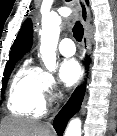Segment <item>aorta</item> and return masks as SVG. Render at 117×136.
Returning a JSON list of instances; mask_svg holds the SVG:
<instances>
[{
    "label": "aorta",
    "mask_w": 117,
    "mask_h": 136,
    "mask_svg": "<svg viewBox=\"0 0 117 136\" xmlns=\"http://www.w3.org/2000/svg\"><path fill=\"white\" fill-rule=\"evenodd\" d=\"M61 17L52 12L42 18L40 53L42 60L49 71L56 68V49L60 35ZM64 136H81V120L72 119L64 133Z\"/></svg>",
    "instance_id": "762f6f07"
}]
</instances>
